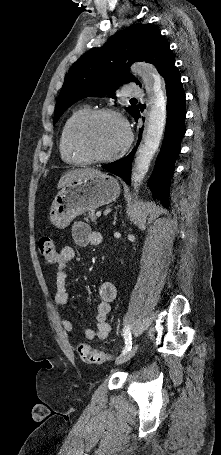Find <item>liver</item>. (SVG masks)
<instances>
[{
  "label": "liver",
  "instance_id": "obj_1",
  "mask_svg": "<svg viewBox=\"0 0 221 455\" xmlns=\"http://www.w3.org/2000/svg\"><path fill=\"white\" fill-rule=\"evenodd\" d=\"M100 174H102L101 171L94 168L75 169L65 173L60 178L57 187L60 189L76 179L95 177Z\"/></svg>",
  "mask_w": 221,
  "mask_h": 455
}]
</instances>
